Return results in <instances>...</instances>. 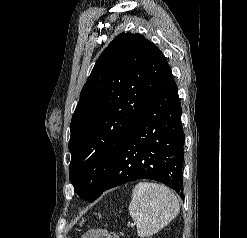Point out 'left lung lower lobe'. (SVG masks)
Returning a JSON list of instances; mask_svg holds the SVG:
<instances>
[{"label":"left lung lower lobe","instance_id":"left-lung-lower-lobe-1","mask_svg":"<svg viewBox=\"0 0 247 238\" xmlns=\"http://www.w3.org/2000/svg\"><path fill=\"white\" fill-rule=\"evenodd\" d=\"M181 113L178 89L167 64L157 89L119 147L100 195L130 181L152 179L183 196Z\"/></svg>","mask_w":247,"mask_h":238}]
</instances>
